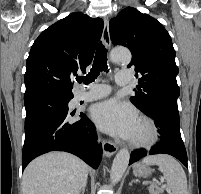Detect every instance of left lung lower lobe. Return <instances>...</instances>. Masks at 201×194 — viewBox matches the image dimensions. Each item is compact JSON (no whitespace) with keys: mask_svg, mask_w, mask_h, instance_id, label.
Wrapping results in <instances>:
<instances>
[{"mask_svg":"<svg viewBox=\"0 0 201 194\" xmlns=\"http://www.w3.org/2000/svg\"><path fill=\"white\" fill-rule=\"evenodd\" d=\"M147 115L154 119L161 140L149 152L136 150L131 153L129 165L147 154H169L188 167L187 153L180 134L178 107L165 103L158 104Z\"/></svg>","mask_w":201,"mask_h":194,"instance_id":"0a47b994","label":"left lung lower lobe"}]
</instances>
